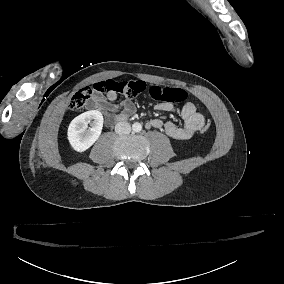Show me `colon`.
Listing matches in <instances>:
<instances>
[{
    "instance_id": "1",
    "label": "colon",
    "mask_w": 284,
    "mask_h": 284,
    "mask_svg": "<svg viewBox=\"0 0 284 284\" xmlns=\"http://www.w3.org/2000/svg\"><path fill=\"white\" fill-rule=\"evenodd\" d=\"M147 83L143 80L131 81H116V80H102L94 84L88 85L85 89L76 92L70 99V106L73 109H79L84 102L96 92H119L127 96L133 97L145 90ZM149 95L156 100H164L166 102L183 101L187 97V90L183 86L164 87L160 84H153L149 88ZM212 120L208 119L204 125L203 135H206L212 128Z\"/></svg>"
}]
</instances>
